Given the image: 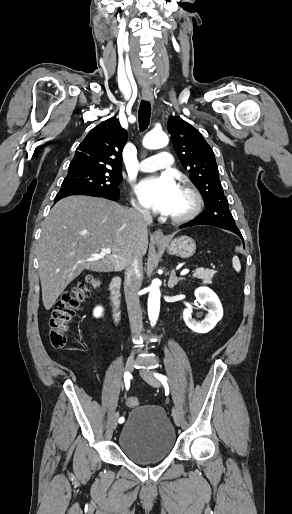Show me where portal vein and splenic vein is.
<instances>
[{"label": "portal vein and splenic vein", "instance_id": "18ae733b", "mask_svg": "<svg viewBox=\"0 0 292 514\" xmlns=\"http://www.w3.org/2000/svg\"><path fill=\"white\" fill-rule=\"evenodd\" d=\"M101 254H111V248H104L102 250ZM96 260V258H94ZM189 270H183V272H180L181 276H185V274H188Z\"/></svg>", "mask_w": 292, "mask_h": 514}]
</instances>
